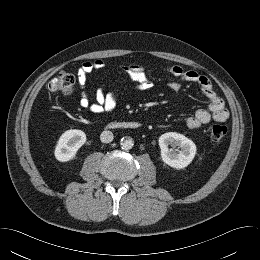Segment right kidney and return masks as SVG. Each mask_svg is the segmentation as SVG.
<instances>
[{
	"mask_svg": "<svg viewBox=\"0 0 260 260\" xmlns=\"http://www.w3.org/2000/svg\"><path fill=\"white\" fill-rule=\"evenodd\" d=\"M86 142V134L77 129L65 131L57 141L54 155L60 162L73 159L82 145Z\"/></svg>",
	"mask_w": 260,
	"mask_h": 260,
	"instance_id": "obj_1",
	"label": "right kidney"
}]
</instances>
